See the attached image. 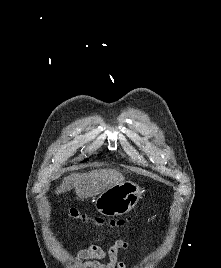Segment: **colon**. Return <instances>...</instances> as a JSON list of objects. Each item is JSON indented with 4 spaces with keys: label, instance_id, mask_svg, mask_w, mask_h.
Masks as SVG:
<instances>
[{
    "label": "colon",
    "instance_id": "obj_1",
    "mask_svg": "<svg viewBox=\"0 0 221 268\" xmlns=\"http://www.w3.org/2000/svg\"><path fill=\"white\" fill-rule=\"evenodd\" d=\"M68 216L72 219L79 220L82 222H90L100 227L109 226L111 228H122L127 226L131 222V218H126V219L111 220L106 223L100 217H91L87 214L80 212L77 209H70L68 211Z\"/></svg>",
    "mask_w": 221,
    "mask_h": 268
}]
</instances>
